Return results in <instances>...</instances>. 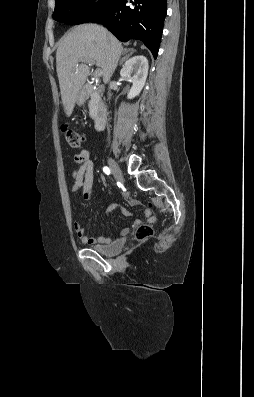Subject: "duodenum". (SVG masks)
Listing matches in <instances>:
<instances>
[{
    "label": "duodenum",
    "mask_w": 254,
    "mask_h": 397,
    "mask_svg": "<svg viewBox=\"0 0 254 397\" xmlns=\"http://www.w3.org/2000/svg\"><path fill=\"white\" fill-rule=\"evenodd\" d=\"M86 93L88 95H91V94H99L100 92L94 86L87 85L86 86ZM107 116H108L107 106H106V104L103 101H101V103H100V105L98 107V111L96 113V116L94 118V128L97 131H100V130H102L105 127L106 121H107Z\"/></svg>",
    "instance_id": "410a0bca"
}]
</instances>
